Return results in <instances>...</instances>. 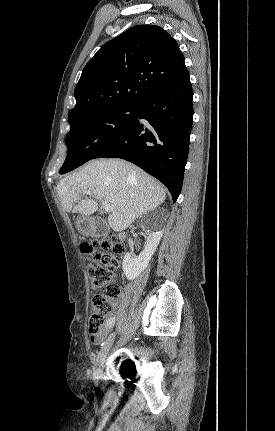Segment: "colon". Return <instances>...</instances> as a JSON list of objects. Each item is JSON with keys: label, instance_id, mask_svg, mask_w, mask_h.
I'll list each match as a JSON object with an SVG mask.
<instances>
[{"label": "colon", "instance_id": "obj_1", "mask_svg": "<svg viewBox=\"0 0 275 431\" xmlns=\"http://www.w3.org/2000/svg\"><path fill=\"white\" fill-rule=\"evenodd\" d=\"M81 250L90 259L92 287L102 290V293L93 297L89 321V334L96 337L105 330L120 295V287L111 283V279L119 267L123 247L116 242L113 235L103 234L91 242L82 243Z\"/></svg>", "mask_w": 275, "mask_h": 431}]
</instances>
